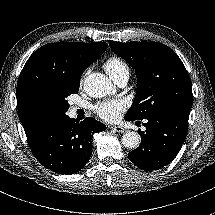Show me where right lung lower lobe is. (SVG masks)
Masks as SVG:
<instances>
[{
    "instance_id": "right-lung-lower-lobe-1",
    "label": "right lung lower lobe",
    "mask_w": 215,
    "mask_h": 215,
    "mask_svg": "<svg viewBox=\"0 0 215 215\" xmlns=\"http://www.w3.org/2000/svg\"><path fill=\"white\" fill-rule=\"evenodd\" d=\"M106 126L87 117L78 123L68 115L48 125L36 141L29 145L36 159L58 174H74L81 170L92 154V135Z\"/></svg>"
}]
</instances>
